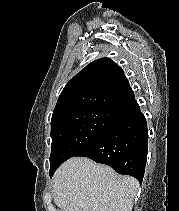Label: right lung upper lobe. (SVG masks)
Here are the masks:
<instances>
[{"instance_id":"obj_1","label":"right lung upper lobe","mask_w":179,"mask_h":211,"mask_svg":"<svg viewBox=\"0 0 179 211\" xmlns=\"http://www.w3.org/2000/svg\"><path fill=\"white\" fill-rule=\"evenodd\" d=\"M134 98L123 70L109 58L97 59L66 84L53 111L52 121L90 109L119 112Z\"/></svg>"}]
</instances>
